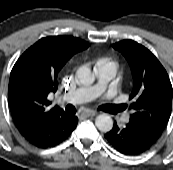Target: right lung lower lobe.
Returning a JSON list of instances; mask_svg holds the SVG:
<instances>
[{
    "instance_id": "right-lung-lower-lobe-1",
    "label": "right lung lower lobe",
    "mask_w": 173,
    "mask_h": 170,
    "mask_svg": "<svg viewBox=\"0 0 173 170\" xmlns=\"http://www.w3.org/2000/svg\"><path fill=\"white\" fill-rule=\"evenodd\" d=\"M75 115L63 113L20 131L22 136L38 148L54 147L68 138L76 128Z\"/></svg>"
}]
</instances>
